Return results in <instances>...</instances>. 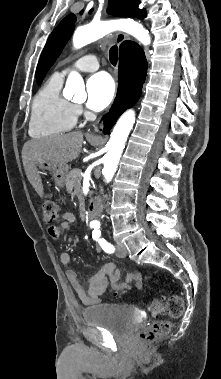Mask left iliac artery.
I'll return each mask as SVG.
<instances>
[{
  "label": "left iliac artery",
  "mask_w": 221,
  "mask_h": 379,
  "mask_svg": "<svg viewBox=\"0 0 221 379\" xmlns=\"http://www.w3.org/2000/svg\"><path fill=\"white\" fill-rule=\"evenodd\" d=\"M92 237L99 243V245L105 252L113 253L115 251V248L111 243L106 241L104 238H101V231L99 230V228L93 230Z\"/></svg>",
  "instance_id": "left-iliac-artery-1"
}]
</instances>
